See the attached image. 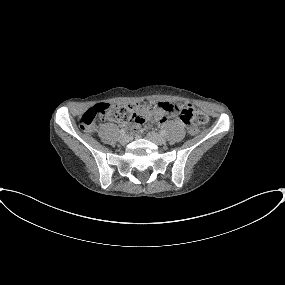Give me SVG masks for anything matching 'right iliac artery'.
<instances>
[{
    "instance_id": "right-iliac-artery-1",
    "label": "right iliac artery",
    "mask_w": 285,
    "mask_h": 285,
    "mask_svg": "<svg viewBox=\"0 0 285 285\" xmlns=\"http://www.w3.org/2000/svg\"><path fill=\"white\" fill-rule=\"evenodd\" d=\"M125 133H126V130H125V129H121V130H120V134H121V135H124Z\"/></svg>"
}]
</instances>
